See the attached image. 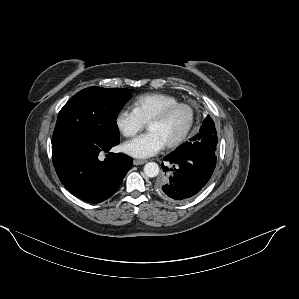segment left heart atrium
<instances>
[{
  "instance_id": "1",
  "label": "left heart atrium",
  "mask_w": 299,
  "mask_h": 299,
  "mask_svg": "<svg viewBox=\"0 0 299 299\" xmlns=\"http://www.w3.org/2000/svg\"><path fill=\"white\" fill-rule=\"evenodd\" d=\"M164 146L165 143L158 134L148 132L125 142L122 145V150L135 158H147L157 154Z\"/></svg>"
}]
</instances>
